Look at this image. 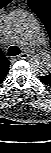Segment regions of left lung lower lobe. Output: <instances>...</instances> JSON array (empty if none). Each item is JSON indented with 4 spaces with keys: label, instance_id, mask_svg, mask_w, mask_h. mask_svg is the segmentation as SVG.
<instances>
[{
    "label": "left lung lower lobe",
    "instance_id": "obj_1",
    "mask_svg": "<svg viewBox=\"0 0 51 153\" xmlns=\"http://www.w3.org/2000/svg\"><path fill=\"white\" fill-rule=\"evenodd\" d=\"M40 80H41V82H43V83H45L46 85H48V86L51 87V79H49V78L47 77V75H46V76H40Z\"/></svg>",
    "mask_w": 51,
    "mask_h": 153
}]
</instances>
